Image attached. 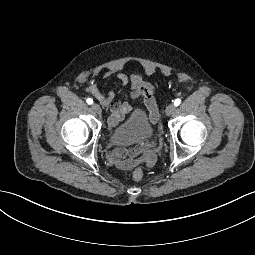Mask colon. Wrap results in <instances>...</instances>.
Wrapping results in <instances>:
<instances>
[{
	"label": "colon",
	"mask_w": 255,
	"mask_h": 255,
	"mask_svg": "<svg viewBox=\"0 0 255 255\" xmlns=\"http://www.w3.org/2000/svg\"><path fill=\"white\" fill-rule=\"evenodd\" d=\"M132 177L135 181H141L144 177L142 169L137 168L132 172Z\"/></svg>",
	"instance_id": "1"
}]
</instances>
